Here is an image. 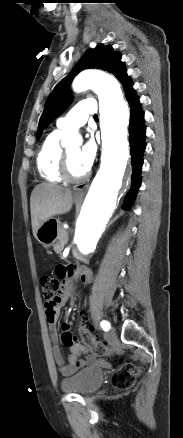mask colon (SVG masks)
<instances>
[{"instance_id": "1", "label": "colon", "mask_w": 183, "mask_h": 438, "mask_svg": "<svg viewBox=\"0 0 183 438\" xmlns=\"http://www.w3.org/2000/svg\"><path fill=\"white\" fill-rule=\"evenodd\" d=\"M40 283L44 298L47 301L54 299L60 288L59 280L51 276H44L40 279ZM79 333L83 343L90 348L93 354L98 356L113 355V351L106 344L94 339L89 330V316L86 311L80 313ZM140 372L139 366L123 363L112 377L113 387L119 392L130 390L135 385Z\"/></svg>"}]
</instances>
